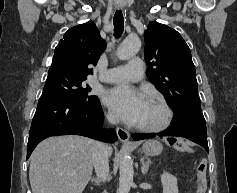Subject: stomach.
Returning <instances> with one entry per match:
<instances>
[{"label": "stomach", "mask_w": 237, "mask_h": 193, "mask_svg": "<svg viewBox=\"0 0 237 193\" xmlns=\"http://www.w3.org/2000/svg\"><path fill=\"white\" fill-rule=\"evenodd\" d=\"M163 150V146L157 140L146 141L141 149V152L146 156H156L159 155Z\"/></svg>", "instance_id": "1"}]
</instances>
